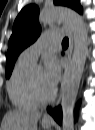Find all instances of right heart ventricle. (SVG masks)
<instances>
[{
    "label": "right heart ventricle",
    "mask_w": 95,
    "mask_h": 130,
    "mask_svg": "<svg viewBox=\"0 0 95 130\" xmlns=\"http://www.w3.org/2000/svg\"><path fill=\"white\" fill-rule=\"evenodd\" d=\"M32 63L18 60L7 85L12 104L21 110L36 109L40 106L30 92L29 78Z\"/></svg>",
    "instance_id": "right-heart-ventricle-1"
}]
</instances>
